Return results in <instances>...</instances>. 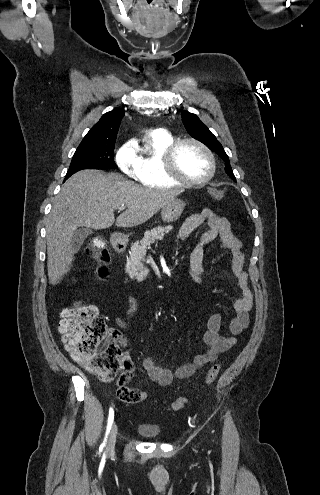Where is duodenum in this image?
<instances>
[{
    "instance_id": "duodenum-1",
    "label": "duodenum",
    "mask_w": 320,
    "mask_h": 495,
    "mask_svg": "<svg viewBox=\"0 0 320 495\" xmlns=\"http://www.w3.org/2000/svg\"><path fill=\"white\" fill-rule=\"evenodd\" d=\"M113 246L116 251L123 252L126 248V241L120 234L113 235Z\"/></svg>"
}]
</instances>
